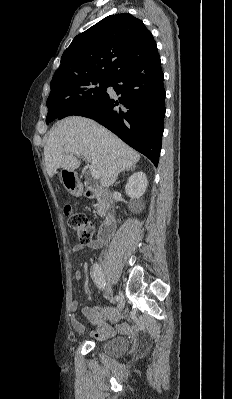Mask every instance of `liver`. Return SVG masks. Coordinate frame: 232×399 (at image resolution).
I'll return each instance as SVG.
<instances>
[{
    "mask_svg": "<svg viewBox=\"0 0 232 399\" xmlns=\"http://www.w3.org/2000/svg\"><path fill=\"white\" fill-rule=\"evenodd\" d=\"M64 146L80 152L93 170L99 172L104 188L112 186L122 170H128L140 160V154L94 120L70 116L57 122L48 136L44 160L49 178H53L58 168L74 172L80 166L74 154H64Z\"/></svg>",
    "mask_w": 232,
    "mask_h": 399,
    "instance_id": "liver-1",
    "label": "liver"
}]
</instances>
